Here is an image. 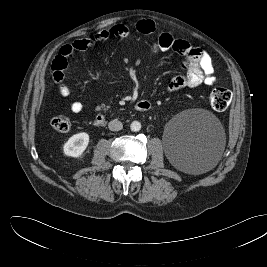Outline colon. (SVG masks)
<instances>
[{
    "instance_id": "1",
    "label": "colon",
    "mask_w": 267,
    "mask_h": 267,
    "mask_svg": "<svg viewBox=\"0 0 267 267\" xmlns=\"http://www.w3.org/2000/svg\"><path fill=\"white\" fill-rule=\"evenodd\" d=\"M232 95L228 89L216 88L208 96L211 107L217 112L225 111L231 103ZM54 129L67 132L71 128V121L65 116H56L51 121Z\"/></svg>"
}]
</instances>
